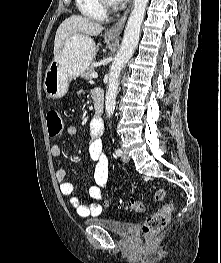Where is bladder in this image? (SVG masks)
Segmentation results:
<instances>
[{
	"label": "bladder",
	"instance_id": "31cf9c89",
	"mask_svg": "<svg viewBox=\"0 0 221 263\" xmlns=\"http://www.w3.org/2000/svg\"><path fill=\"white\" fill-rule=\"evenodd\" d=\"M87 223L103 227L106 230L121 236L128 235L134 228V224L132 222L121 219L110 220L105 218H91L87 220Z\"/></svg>",
	"mask_w": 221,
	"mask_h": 263
}]
</instances>
